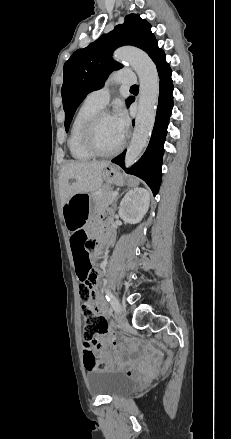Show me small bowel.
<instances>
[{"mask_svg": "<svg viewBox=\"0 0 231 439\" xmlns=\"http://www.w3.org/2000/svg\"><path fill=\"white\" fill-rule=\"evenodd\" d=\"M76 235H85L86 233L82 229H75L71 235L70 244H71V250L72 255L74 258V262L76 265V269L78 268L79 263H87L89 262V250L91 247H93L94 243L93 241L89 242L87 238L83 241H81L78 245L75 242V236ZM108 237V240L113 237V233H105ZM93 311L101 316H108V312L106 310L105 302L102 298H97V301L94 305ZM119 344V340L115 335H109L105 338H98L95 342L85 343L83 346L84 353L91 351V352H97L100 349L105 352L110 351V347L115 348ZM116 361H113L111 366H116ZM153 369V365L151 363H147L145 365H142L136 369L129 370V374H141L145 372L146 370Z\"/></svg>", "mask_w": 231, "mask_h": 439, "instance_id": "c3829d8e", "label": "small bowel"}]
</instances>
